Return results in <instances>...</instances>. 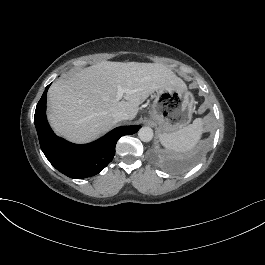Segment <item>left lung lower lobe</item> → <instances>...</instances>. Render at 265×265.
Returning a JSON list of instances; mask_svg holds the SVG:
<instances>
[{
	"label": "left lung lower lobe",
	"mask_w": 265,
	"mask_h": 265,
	"mask_svg": "<svg viewBox=\"0 0 265 265\" xmlns=\"http://www.w3.org/2000/svg\"><path fill=\"white\" fill-rule=\"evenodd\" d=\"M201 147L189 154L182 156L163 157L154 156V161L164 170L174 173H181L195 165L202 157Z\"/></svg>",
	"instance_id": "left-lung-lower-lobe-1"
}]
</instances>
